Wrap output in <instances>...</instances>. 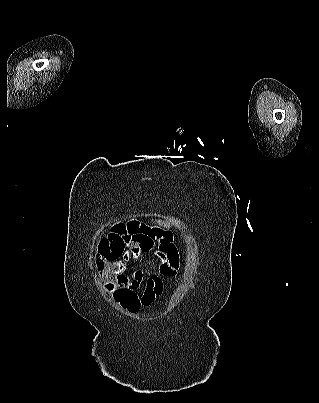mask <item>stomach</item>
<instances>
[{
	"label": "stomach",
	"instance_id": "obj_1",
	"mask_svg": "<svg viewBox=\"0 0 319 403\" xmlns=\"http://www.w3.org/2000/svg\"><path fill=\"white\" fill-rule=\"evenodd\" d=\"M158 225H159L160 227L168 228V227L170 226V223H169V221H162V220H160V221H158Z\"/></svg>",
	"mask_w": 319,
	"mask_h": 403
}]
</instances>
